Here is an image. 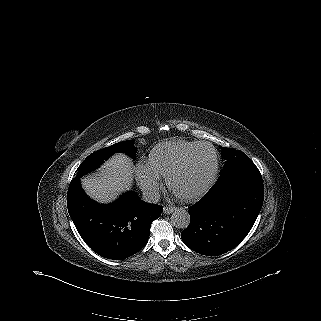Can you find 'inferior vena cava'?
I'll use <instances>...</instances> for the list:
<instances>
[{
	"label": "inferior vena cava",
	"mask_w": 321,
	"mask_h": 321,
	"mask_svg": "<svg viewBox=\"0 0 321 321\" xmlns=\"http://www.w3.org/2000/svg\"><path fill=\"white\" fill-rule=\"evenodd\" d=\"M142 199L148 203H157L160 200L159 191L155 188H145L142 193Z\"/></svg>",
	"instance_id": "inferior-vena-cava-1"
}]
</instances>
